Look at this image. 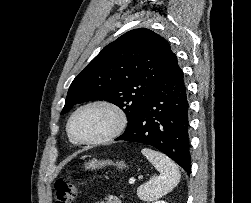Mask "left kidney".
<instances>
[{
    "label": "left kidney",
    "instance_id": "1",
    "mask_svg": "<svg viewBox=\"0 0 251 203\" xmlns=\"http://www.w3.org/2000/svg\"><path fill=\"white\" fill-rule=\"evenodd\" d=\"M154 203H167V202H165V201H156Z\"/></svg>",
    "mask_w": 251,
    "mask_h": 203
}]
</instances>
